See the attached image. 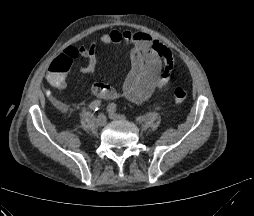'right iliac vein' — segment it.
<instances>
[{
  "mask_svg": "<svg viewBox=\"0 0 254 216\" xmlns=\"http://www.w3.org/2000/svg\"><path fill=\"white\" fill-rule=\"evenodd\" d=\"M106 122H107V118L104 114L101 113L97 116V118H96V125L97 126H100V127L104 126L106 124Z\"/></svg>",
  "mask_w": 254,
  "mask_h": 216,
  "instance_id": "63e3f726",
  "label": "right iliac vein"
}]
</instances>
